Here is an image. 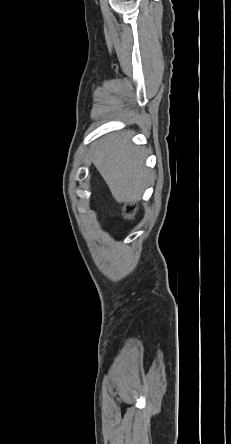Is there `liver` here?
<instances>
[{
  "instance_id": "1",
  "label": "liver",
  "mask_w": 231,
  "mask_h": 444,
  "mask_svg": "<svg viewBox=\"0 0 231 444\" xmlns=\"http://www.w3.org/2000/svg\"><path fill=\"white\" fill-rule=\"evenodd\" d=\"M130 132L103 137L92 147V161L118 202L139 200L152 180L145 152L130 143Z\"/></svg>"
}]
</instances>
